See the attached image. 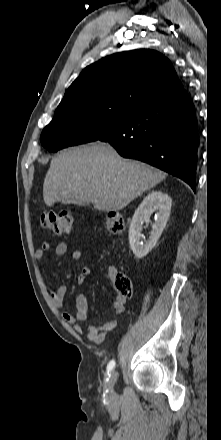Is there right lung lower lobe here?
<instances>
[{
    "mask_svg": "<svg viewBox=\"0 0 221 440\" xmlns=\"http://www.w3.org/2000/svg\"><path fill=\"white\" fill-rule=\"evenodd\" d=\"M98 140L125 158L182 179L195 191L198 129L194 105L183 88L141 105Z\"/></svg>",
    "mask_w": 221,
    "mask_h": 440,
    "instance_id": "1",
    "label": "right lung lower lobe"
}]
</instances>
